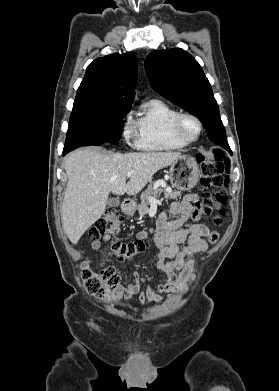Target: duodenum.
<instances>
[{
  "label": "duodenum",
  "instance_id": "duodenum-1",
  "mask_svg": "<svg viewBox=\"0 0 279 391\" xmlns=\"http://www.w3.org/2000/svg\"><path fill=\"white\" fill-rule=\"evenodd\" d=\"M133 202L129 199L124 200L123 202V210L126 214H129L133 209Z\"/></svg>",
  "mask_w": 279,
  "mask_h": 391
}]
</instances>
